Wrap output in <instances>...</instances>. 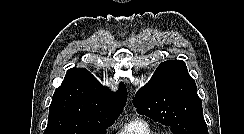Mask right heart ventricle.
I'll list each match as a JSON object with an SVG mask.
<instances>
[{
    "instance_id": "1",
    "label": "right heart ventricle",
    "mask_w": 244,
    "mask_h": 134,
    "mask_svg": "<svg viewBox=\"0 0 244 134\" xmlns=\"http://www.w3.org/2000/svg\"><path fill=\"white\" fill-rule=\"evenodd\" d=\"M117 134H159L145 120L135 118L123 125Z\"/></svg>"
}]
</instances>
